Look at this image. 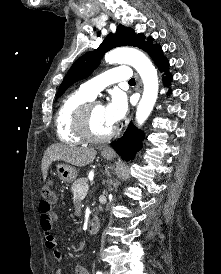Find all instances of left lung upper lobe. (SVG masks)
Masks as SVG:
<instances>
[{"label":"left lung upper lobe","instance_id":"5c2ea615","mask_svg":"<svg viewBox=\"0 0 221 274\" xmlns=\"http://www.w3.org/2000/svg\"><path fill=\"white\" fill-rule=\"evenodd\" d=\"M152 41L153 38L149 37L146 41L142 33L136 34L133 29L120 24L116 33H110L94 52L82 55L72 65L58 89L56 98L60 97L73 83L88 77L99 65L100 59L106 51L119 46H134L150 54L159 47L157 44L152 45Z\"/></svg>","mask_w":221,"mask_h":274}]
</instances>
